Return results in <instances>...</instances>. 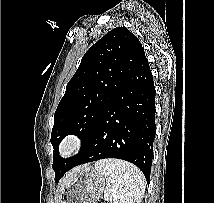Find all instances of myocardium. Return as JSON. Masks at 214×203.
I'll return each instance as SVG.
<instances>
[{
    "label": "myocardium",
    "instance_id": "1",
    "mask_svg": "<svg viewBox=\"0 0 214 203\" xmlns=\"http://www.w3.org/2000/svg\"><path fill=\"white\" fill-rule=\"evenodd\" d=\"M84 138L81 134L73 133L65 136L58 149L61 158H69L77 154L83 146Z\"/></svg>",
    "mask_w": 214,
    "mask_h": 203
}]
</instances>
